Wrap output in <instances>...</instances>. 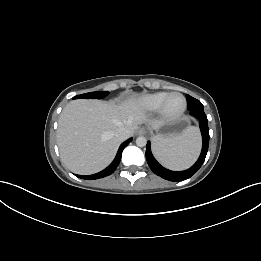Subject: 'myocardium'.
<instances>
[{"mask_svg": "<svg viewBox=\"0 0 261 261\" xmlns=\"http://www.w3.org/2000/svg\"><path fill=\"white\" fill-rule=\"evenodd\" d=\"M174 95H179L182 97L183 99V106L182 108L178 111V112H175V113H170L168 110H167V103L169 101V99L174 96ZM187 109V100H186V97L180 93V92H171L169 93L165 99L163 100L161 106H160V109H159V113L160 115L165 119V120H168V121H174V120H177L179 119L180 117L183 116V114L185 113Z\"/></svg>", "mask_w": 261, "mask_h": 261, "instance_id": "obj_1", "label": "myocardium"}]
</instances>
